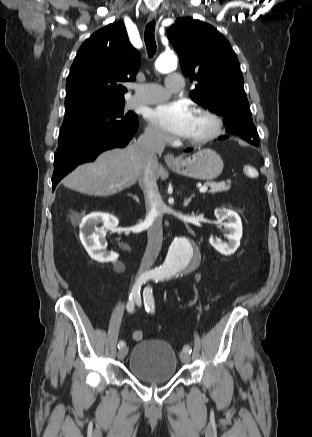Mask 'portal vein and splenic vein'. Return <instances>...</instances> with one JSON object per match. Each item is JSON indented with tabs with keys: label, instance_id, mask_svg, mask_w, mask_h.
Listing matches in <instances>:
<instances>
[{
	"label": "portal vein and splenic vein",
	"instance_id": "1",
	"mask_svg": "<svg viewBox=\"0 0 312 437\" xmlns=\"http://www.w3.org/2000/svg\"><path fill=\"white\" fill-rule=\"evenodd\" d=\"M208 190L207 186H203L199 189L200 193H205Z\"/></svg>",
	"mask_w": 312,
	"mask_h": 437
}]
</instances>
